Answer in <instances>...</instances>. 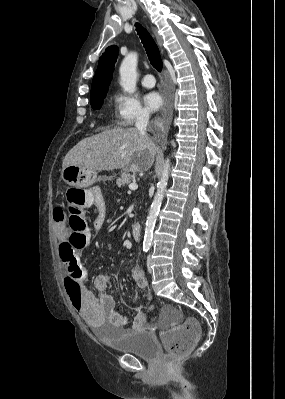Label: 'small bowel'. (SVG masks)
Here are the masks:
<instances>
[{
    "label": "small bowel",
    "instance_id": "1",
    "mask_svg": "<svg viewBox=\"0 0 285 399\" xmlns=\"http://www.w3.org/2000/svg\"><path fill=\"white\" fill-rule=\"evenodd\" d=\"M85 208L94 209L95 216L93 219V229L97 230L101 227L107 213L106 203L100 188L93 187L85 191ZM54 218L59 221L56 223V231L60 240H65L68 236V230L63 222V211L60 208L53 210ZM66 279L72 282L80 283L82 287V296L78 307L74 306L82 319L87 323L108 322L113 327L119 328L122 332L132 330H146V315L141 311H136L130 317L116 311V302L109 291L107 275L105 273L98 274L95 277V288L98 294L95 295L85 284V270L80 267L67 265ZM131 277L135 284L144 291V296L149 298V292L146 279L139 267L131 270ZM72 302V300H71Z\"/></svg>",
    "mask_w": 285,
    "mask_h": 399
}]
</instances>
